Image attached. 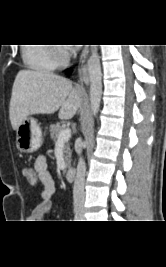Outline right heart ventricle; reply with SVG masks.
I'll return each instance as SVG.
<instances>
[{"label": "right heart ventricle", "instance_id": "right-heart-ventricle-1", "mask_svg": "<svg viewBox=\"0 0 166 267\" xmlns=\"http://www.w3.org/2000/svg\"><path fill=\"white\" fill-rule=\"evenodd\" d=\"M21 54L26 67L38 72H51L59 64L53 50L43 44L29 43L23 46Z\"/></svg>", "mask_w": 166, "mask_h": 267}]
</instances>
